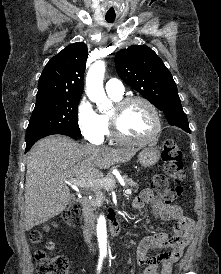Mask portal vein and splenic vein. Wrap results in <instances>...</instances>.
<instances>
[{"label":"portal vein and splenic vein","mask_w":221,"mask_h":274,"mask_svg":"<svg viewBox=\"0 0 221 274\" xmlns=\"http://www.w3.org/2000/svg\"><path fill=\"white\" fill-rule=\"evenodd\" d=\"M67 184L71 186L81 187V188H94L97 189L99 187L104 188H112L115 187V181L113 179L109 178H103V179H94V178H83V177H77L70 179L66 181ZM126 194H131L130 189L125 190Z\"/></svg>","instance_id":"obj_1"}]
</instances>
